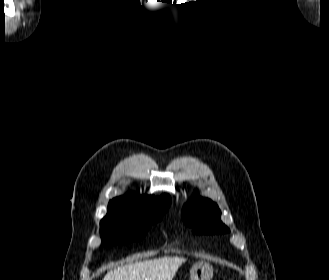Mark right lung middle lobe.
<instances>
[{"instance_id": "dd1d6c3e", "label": "right lung middle lobe", "mask_w": 329, "mask_h": 280, "mask_svg": "<svg viewBox=\"0 0 329 280\" xmlns=\"http://www.w3.org/2000/svg\"><path fill=\"white\" fill-rule=\"evenodd\" d=\"M169 206L156 208L151 212L108 205V213L100 222L102 245L124 244L138 241L145 237L153 223L162 219Z\"/></svg>"}]
</instances>
